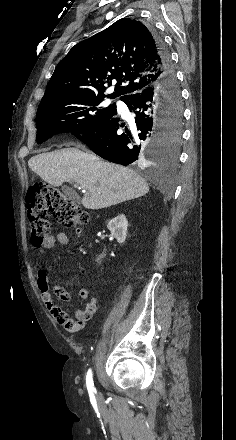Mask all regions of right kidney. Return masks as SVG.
Wrapping results in <instances>:
<instances>
[{"label": "right kidney", "instance_id": "1", "mask_svg": "<svg viewBox=\"0 0 236 440\" xmlns=\"http://www.w3.org/2000/svg\"><path fill=\"white\" fill-rule=\"evenodd\" d=\"M107 228L110 230L111 234L115 236L118 243L121 244L125 242L128 228V221L125 215L121 214L111 219L107 224Z\"/></svg>", "mask_w": 236, "mask_h": 440}]
</instances>
